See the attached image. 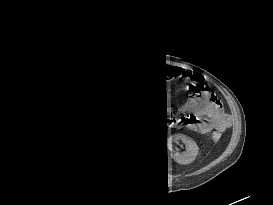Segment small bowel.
<instances>
[{
  "instance_id": "c3829d8e",
  "label": "small bowel",
  "mask_w": 273,
  "mask_h": 205,
  "mask_svg": "<svg viewBox=\"0 0 273 205\" xmlns=\"http://www.w3.org/2000/svg\"><path fill=\"white\" fill-rule=\"evenodd\" d=\"M203 93L204 97L192 98L185 105V109L196 116L190 121V125L198 131L208 130L212 125L218 128L225 127L228 115L223 111L221 103L209 97L207 90ZM200 116L205 117L199 118Z\"/></svg>"
}]
</instances>
